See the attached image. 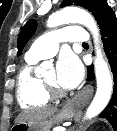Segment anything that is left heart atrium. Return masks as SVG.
<instances>
[{
	"mask_svg": "<svg viewBox=\"0 0 117 131\" xmlns=\"http://www.w3.org/2000/svg\"><path fill=\"white\" fill-rule=\"evenodd\" d=\"M84 75L83 66L76 55L63 53L56 67V81L64 89H73L79 85Z\"/></svg>",
	"mask_w": 117,
	"mask_h": 131,
	"instance_id": "left-heart-atrium-1",
	"label": "left heart atrium"
}]
</instances>
